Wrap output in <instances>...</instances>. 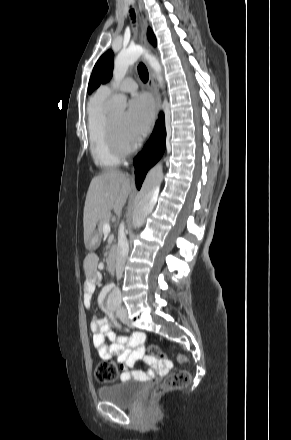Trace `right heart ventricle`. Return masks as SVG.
I'll list each match as a JSON object with an SVG mask.
<instances>
[{
  "label": "right heart ventricle",
  "instance_id": "right-heart-ventricle-1",
  "mask_svg": "<svg viewBox=\"0 0 291 440\" xmlns=\"http://www.w3.org/2000/svg\"><path fill=\"white\" fill-rule=\"evenodd\" d=\"M107 97L98 90L88 106L89 148L95 164L102 168L117 167L121 162V158L112 151L106 134L104 104Z\"/></svg>",
  "mask_w": 291,
  "mask_h": 440
}]
</instances>
